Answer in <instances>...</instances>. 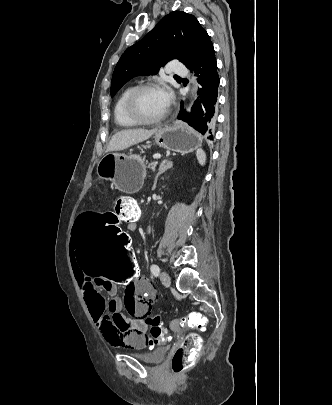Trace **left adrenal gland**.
Here are the masks:
<instances>
[{"instance_id":"1","label":"left adrenal gland","mask_w":332,"mask_h":405,"mask_svg":"<svg viewBox=\"0 0 332 405\" xmlns=\"http://www.w3.org/2000/svg\"><path fill=\"white\" fill-rule=\"evenodd\" d=\"M172 167H173V163L169 160H164L161 162V164L159 165L158 173L156 174V177H155L154 185L152 188L153 190L156 188V184H157V180H158L159 176Z\"/></svg>"}]
</instances>
